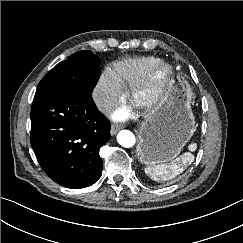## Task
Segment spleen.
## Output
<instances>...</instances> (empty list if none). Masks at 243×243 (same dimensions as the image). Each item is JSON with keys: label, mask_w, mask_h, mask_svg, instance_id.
I'll list each match as a JSON object with an SVG mask.
<instances>
[{"label": "spleen", "mask_w": 243, "mask_h": 243, "mask_svg": "<svg viewBox=\"0 0 243 243\" xmlns=\"http://www.w3.org/2000/svg\"><path fill=\"white\" fill-rule=\"evenodd\" d=\"M191 152L197 148L196 143L188 146ZM185 152L170 163L149 165L145 168V173L155 181H167L181 174L193 161L194 155Z\"/></svg>", "instance_id": "spleen-1"}]
</instances>
